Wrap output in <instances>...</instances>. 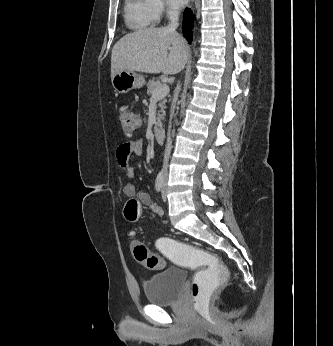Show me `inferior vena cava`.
<instances>
[{
    "label": "inferior vena cava",
    "instance_id": "inferior-vena-cava-1",
    "mask_svg": "<svg viewBox=\"0 0 333 346\" xmlns=\"http://www.w3.org/2000/svg\"><path fill=\"white\" fill-rule=\"evenodd\" d=\"M168 17H169V24H168L167 28L171 31H175L179 25V23H178L179 10L176 7L171 8V10L168 11ZM179 90H180V86L178 84L176 89H175L176 95L179 93ZM173 113H174V107L171 108V118L173 116ZM170 130H171V123H170L169 129H168V136H167V142H166V146H165V154H164V160H163V170L165 173L167 172L168 160H169L170 152H171V148H172V140L170 137Z\"/></svg>",
    "mask_w": 333,
    "mask_h": 346
}]
</instances>
